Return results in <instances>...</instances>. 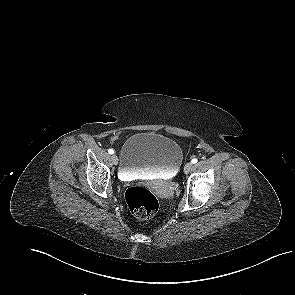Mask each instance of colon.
Returning a JSON list of instances; mask_svg holds the SVG:
<instances>
[{
  "mask_svg": "<svg viewBox=\"0 0 295 295\" xmlns=\"http://www.w3.org/2000/svg\"><path fill=\"white\" fill-rule=\"evenodd\" d=\"M125 200L130 212L140 220L154 216L159 208L155 195L143 187H130L126 190Z\"/></svg>",
  "mask_w": 295,
  "mask_h": 295,
  "instance_id": "5ec220e1",
  "label": "colon"
}]
</instances>
